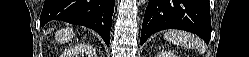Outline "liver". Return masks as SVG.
<instances>
[{
    "mask_svg": "<svg viewBox=\"0 0 249 57\" xmlns=\"http://www.w3.org/2000/svg\"><path fill=\"white\" fill-rule=\"evenodd\" d=\"M75 36L72 28L67 27L66 29H61L56 32V37L58 42L64 43L70 41Z\"/></svg>",
    "mask_w": 249,
    "mask_h": 57,
    "instance_id": "6515ba94",
    "label": "liver"
}]
</instances>
